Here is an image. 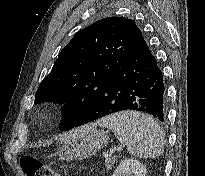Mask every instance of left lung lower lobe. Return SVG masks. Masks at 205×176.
Wrapping results in <instances>:
<instances>
[{"label":"left lung lower lobe","instance_id":"0a47b994","mask_svg":"<svg viewBox=\"0 0 205 176\" xmlns=\"http://www.w3.org/2000/svg\"><path fill=\"white\" fill-rule=\"evenodd\" d=\"M164 90L162 72L143 40L114 77L107 80L74 127L122 110L146 112L163 122Z\"/></svg>","mask_w":205,"mask_h":176}]
</instances>
